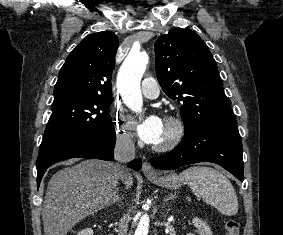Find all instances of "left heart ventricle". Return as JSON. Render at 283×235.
I'll list each match as a JSON object with an SVG mask.
<instances>
[{
	"instance_id": "obj_1",
	"label": "left heart ventricle",
	"mask_w": 283,
	"mask_h": 235,
	"mask_svg": "<svg viewBox=\"0 0 283 235\" xmlns=\"http://www.w3.org/2000/svg\"><path fill=\"white\" fill-rule=\"evenodd\" d=\"M169 134H170V129L166 124H164V130H163L162 135H161V137L159 138V140L156 144H160V143L166 141L167 138L169 137Z\"/></svg>"
}]
</instances>
